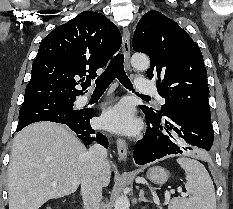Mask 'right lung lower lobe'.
<instances>
[{
  "label": "right lung lower lobe",
  "instance_id": "right-lung-lower-lobe-1",
  "mask_svg": "<svg viewBox=\"0 0 233 209\" xmlns=\"http://www.w3.org/2000/svg\"><path fill=\"white\" fill-rule=\"evenodd\" d=\"M93 116V110H85L82 111V114L79 115L76 119L63 122L62 124L67 125L71 130H73L85 144H91V142L95 140L97 143L107 148V137L102 133H95V131L90 126V119ZM24 127L25 126H17L16 131L19 132ZM92 135H96V137H91Z\"/></svg>",
  "mask_w": 233,
  "mask_h": 209
}]
</instances>
